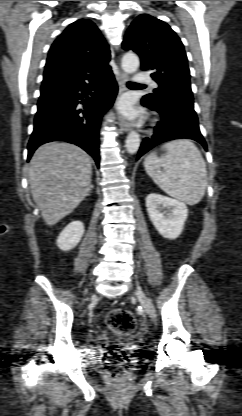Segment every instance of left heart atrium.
Masks as SVG:
<instances>
[{"mask_svg":"<svg viewBox=\"0 0 242 416\" xmlns=\"http://www.w3.org/2000/svg\"><path fill=\"white\" fill-rule=\"evenodd\" d=\"M120 108L122 112L129 117H134L136 115V112L133 110L131 105L126 101L121 104Z\"/></svg>","mask_w":242,"mask_h":416,"instance_id":"left-heart-atrium-1","label":"left heart atrium"}]
</instances>
